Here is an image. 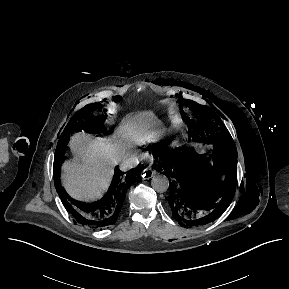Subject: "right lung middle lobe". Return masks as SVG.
<instances>
[{
    "mask_svg": "<svg viewBox=\"0 0 289 289\" xmlns=\"http://www.w3.org/2000/svg\"><path fill=\"white\" fill-rule=\"evenodd\" d=\"M102 110L101 103L86 105L79 110L68 122L62 132L58 144L67 145L70 135L75 131H88L89 133H101L104 130L103 116H96L95 112Z\"/></svg>",
    "mask_w": 289,
    "mask_h": 289,
    "instance_id": "right-lung-middle-lobe-1",
    "label": "right lung middle lobe"
}]
</instances>
